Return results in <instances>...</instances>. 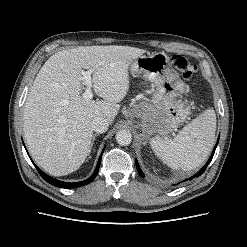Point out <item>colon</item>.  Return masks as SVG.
<instances>
[{
	"label": "colon",
	"mask_w": 247,
	"mask_h": 247,
	"mask_svg": "<svg viewBox=\"0 0 247 247\" xmlns=\"http://www.w3.org/2000/svg\"><path fill=\"white\" fill-rule=\"evenodd\" d=\"M174 66L185 80H191L197 73V66L184 57L176 56Z\"/></svg>",
	"instance_id": "5ec220e1"
}]
</instances>
